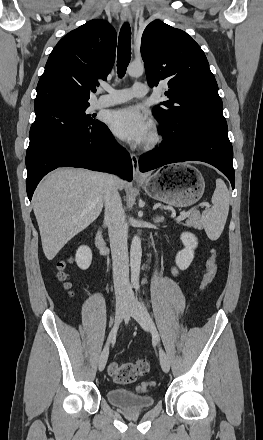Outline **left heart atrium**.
Returning <instances> with one entry per match:
<instances>
[{
  "label": "left heart atrium",
  "mask_w": 263,
  "mask_h": 440,
  "mask_svg": "<svg viewBox=\"0 0 263 440\" xmlns=\"http://www.w3.org/2000/svg\"><path fill=\"white\" fill-rule=\"evenodd\" d=\"M108 121L117 136L131 143L143 142L151 131L150 119L137 106L114 110Z\"/></svg>",
  "instance_id": "1"
}]
</instances>
